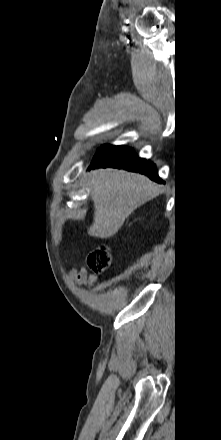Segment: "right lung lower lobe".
<instances>
[{
	"label": "right lung lower lobe",
	"mask_w": 221,
	"mask_h": 440,
	"mask_svg": "<svg viewBox=\"0 0 221 440\" xmlns=\"http://www.w3.org/2000/svg\"><path fill=\"white\" fill-rule=\"evenodd\" d=\"M105 167L139 172L156 182H163L157 174L155 164L140 158L133 148L114 145H104L98 148L88 169Z\"/></svg>",
	"instance_id": "98d812e1"
}]
</instances>
